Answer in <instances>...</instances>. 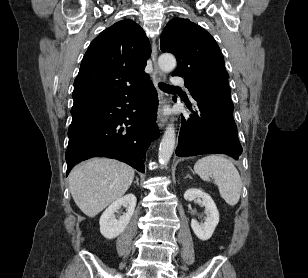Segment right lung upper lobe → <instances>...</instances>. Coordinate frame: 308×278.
<instances>
[{
    "label": "right lung upper lobe",
    "instance_id": "obj_1",
    "mask_svg": "<svg viewBox=\"0 0 308 278\" xmlns=\"http://www.w3.org/2000/svg\"><path fill=\"white\" fill-rule=\"evenodd\" d=\"M150 54L149 40L135 22L123 20L105 29L82 59L71 113L137 90L149 79L144 68Z\"/></svg>",
    "mask_w": 308,
    "mask_h": 278
}]
</instances>
